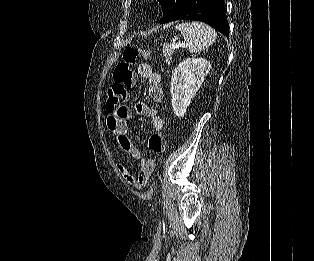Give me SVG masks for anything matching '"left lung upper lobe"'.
Masks as SVG:
<instances>
[{
	"label": "left lung upper lobe",
	"instance_id": "5c2ea615",
	"mask_svg": "<svg viewBox=\"0 0 314 261\" xmlns=\"http://www.w3.org/2000/svg\"><path fill=\"white\" fill-rule=\"evenodd\" d=\"M163 10L161 24L167 23L175 15L184 0H158Z\"/></svg>",
	"mask_w": 314,
	"mask_h": 261
}]
</instances>
